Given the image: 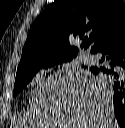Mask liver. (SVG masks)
<instances>
[{"label":"liver","instance_id":"1","mask_svg":"<svg viewBox=\"0 0 125 128\" xmlns=\"http://www.w3.org/2000/svg\"><path fill=\"white\" fill-rule=\"evenodd\" d=\"M31 109L19 121L24 128H116L111 91L97 77L72 71L41 83Z\"/></svg>","mask_w":125,"mask_h":128}]
</instances>
